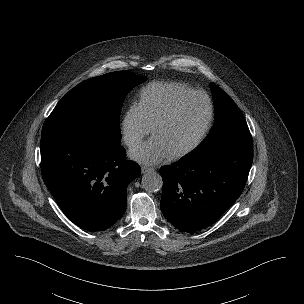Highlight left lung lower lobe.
I'll list each match as a JSON object with an SVG mask.
<instances>
[{
    "instance_id": "1",
    "label": "left lung lower lobe",
    "mask_w": 304,
    "mask_h": 304,
    "mask_svg": "<svg viewBox=\"0 0 304 304\" xmlns=\"http://www.w3.org/2000/svg\"><path fill=\"white\" fill-rule=\"evenodd\" d=\"M252 161V143H229L161 167L163 215L182 232L212 225L242 193Z\"/></svg>"
}]
</instances>
